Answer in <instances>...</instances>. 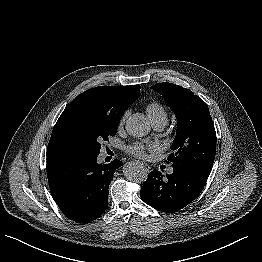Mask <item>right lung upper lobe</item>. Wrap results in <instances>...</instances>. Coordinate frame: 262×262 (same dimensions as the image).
Returning <instances> with one entry per match:
<instances>
[{
    "label": "right lung upper lobe",
    "instance_id": "1",
    "mask_svg": "<svg viewBox=\"0 0 262 262\" xmlns=\"http://www.w3.org/2000/svg\"><path fill=\"white\" fill-rule=\"evenodd\" d=\"M140 96V86H99L78 95L68 106L85 104L111 117L120 118Z\"/></svg>",
    "mask_w": 262,
    "mask_h": 262
}]
</instances>
